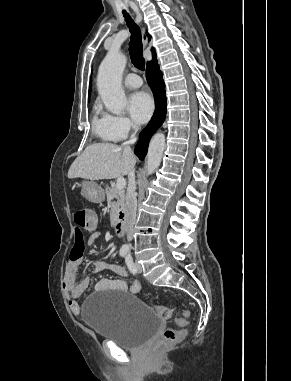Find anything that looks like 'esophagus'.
<instances>
[{"mask_svg": "<svg viewBox=\"0 0 291 381\" xmlns=\"http://www.w3.org/2000/svg\"><path fill=\"white\" fill-rule=\"evenodd\" d=\"M142 41H143L144 47H146L147 43H148V38H147V35L145 33V29L144 28H142Z\"/></svg>", "mask_w": 291, "mask_h": 381, "instance_id": "1", "label": "esophagus"}]
</instances>
